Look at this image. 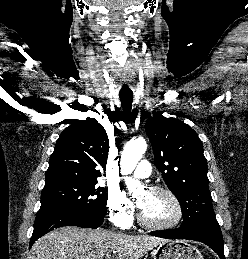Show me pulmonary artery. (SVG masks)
<instances>
[{"label":"pulmonary artery","mask_w":248,"mask_h":259,"mask_svg":"<svg viewBox=\"0 0 248 259\" xmlns=\"http://www.w3.org/2000/svg\"><path fill=\"white\" fill-rule=\"evenodd\" d=\"M150 174L151 164L147 160H142L133 172V176L136 178H146Z\"/></svg>","instance_id":"e3ab8cb5"}]
</instances>
